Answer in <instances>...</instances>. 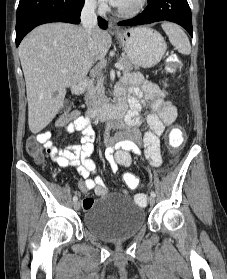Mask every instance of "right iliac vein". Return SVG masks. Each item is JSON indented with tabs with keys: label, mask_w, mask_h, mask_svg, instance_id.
<instances>
[{
	"label": "right iliac vein",
	"mask_w": 227,
	"mask_h": 279,
	"mask_svg": "<svg viewBox=\"0 0 227 279\" xmlns=\"http://www.w3.org/2000/svg\"><path fill=\"white\" fill-rule=\"evenodd\" d=\"M80 206H81V204H80L79 201L74 202V208H75L76 210H79V209H80Z\"/></svg>",
	"instance_id": "1"
}]
</instances>
